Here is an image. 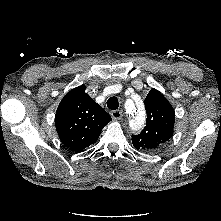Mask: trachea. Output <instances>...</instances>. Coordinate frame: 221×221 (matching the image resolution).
Masks as SVG:
<instances>
[{
    "label": "trachea",
    "instance_id": "1",
    "mask_svg": "<svg viewBox=\"0 0 221 221\" xmlns=\"http://www.w3.org/2000/svg\"><path fill=\"white\" fill-rule=\"evenodd\" d=\"M119 106V102L118 99L114 96V97H110L107 101V107L111 110H116L118 109Z\"/></svg>",
    "mask_w": 221,
    "mask_h": 221
}]
</instances>
